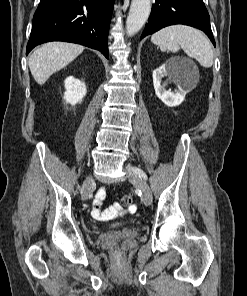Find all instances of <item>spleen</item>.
Instances as JSON below:
<instances>
[{
	"instance_id": "1",
	"label": "spleen",
	"mask_w": 247,
	"mask_h": 296,
	"mask_svg": "<svg viewBox=\"0 0 247 296\" xmlns=\"http://www.w3.org/2000/svg\"><path fill=\"white\" fill-rule=\"evenodd\" d=\"M151 41L162 51L173 53L183 49L205 68L213 65V50L208 38L199 30L185 25H172L154 33Z\"/></svg>"
}]
</instances>
